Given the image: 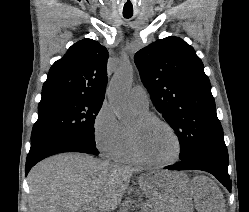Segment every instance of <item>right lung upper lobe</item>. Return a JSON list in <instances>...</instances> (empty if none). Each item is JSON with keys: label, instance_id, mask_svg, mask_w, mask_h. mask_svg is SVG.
Segmentation results:
<instances>
[{"label": "right lung upper lobe", "instance_id": "right-lung-upper-lobe-1", "mask_svg": "<svg viewBox=\"0 0 249 212\" xmlns=\"http://www.w3.org/2000/svg\"><path fill=\"white\" fill-rule=\"evenodd\" d=\"M108 51L97 41L83 39L56 61L42 88V97L68 94L104 100Z\"/></svg>", "mask_w": 249, "mask_h": 212}]
</instances>
